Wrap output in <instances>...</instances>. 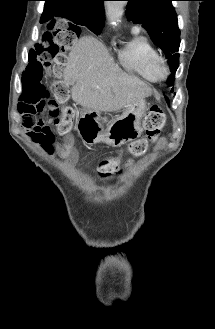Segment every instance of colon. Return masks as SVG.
<instances>
[{"label":"colon","instance_id":"colon-1","mask_svg":"<svg viewBox=\"0 0 215 329\" xmlns=\"http://www.w3.org/2000/svg\"><path fill=\"white\" fill-rule=\"evenodd\" d=\"M49 25H42V31H35V38H43L36 44L30 55L24 56V73H55V74H27L26 80L21 83L23 96L20 101V113L23 117L37 118L47 115L54 119L57 134L63 139L64 147L71 151L75 145V136L72 126L74 120L73 110L62 106L67 96V86L60 81L66 65L64 52L69 49H78L82 25H71V19H49ZM54 81H59L54 85ZM165 114L160 106H152L143 119L145 136L132 142L128 151L134 156H140L147 150L148 144L154 142L160 135L165 124ZM39 124L36 132L39 131ZM47 129L51 130L50 127ZM52 131V130H51ZM119 161L109 158L101 161L98 172L101 176H108L117 172Z\"/></svg>","mask_w":215,"mask_h":329}]
</instances>
